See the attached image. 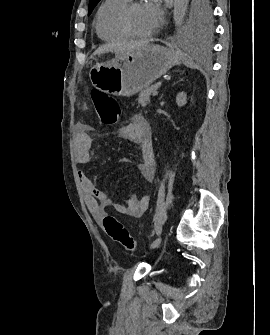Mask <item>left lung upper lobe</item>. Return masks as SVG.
Masks as SVG:
<instances>
[{
    "label": "left lung upper lobe",
    "instance_id": "left-lung-upper-lobe-1",
    "mask_svg": "<svg viewBox=\"0 0 270 335\" xmlns=\"http://www.w3.org/2000/svg\"><path fill=\"white\" fill-rule=\"evenodd\" d=\"M100 0H90L88 15ZM209 0H188L186 3L187 18L190 27L198 33H207L211 29V7Z\"/></svg>",
    "mask_w": 270,
    "mask_h": 335
}]
</instances>
